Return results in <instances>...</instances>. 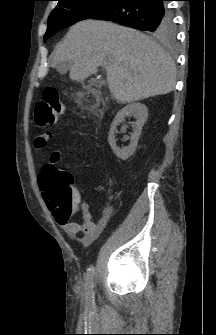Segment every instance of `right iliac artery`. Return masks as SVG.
Returning a JSON list of instances; mask_svg holds the SVG:
<instances>
[{
    "label": "right iliac artery",
    "mask_w": 216,
    "mask_h": 335,
    "mask_svg": "<svg viewBox=\"0 0 216 335\" xmlns=\"http://www.w3.org/2000/svg\"><path fill=\"white\" fill-rule=\"evenodd\" d=\"M93 266H90L87 271V301L88 303L94 302V293H93Z\"/></svg>",
    "instance_id": "82829eb1"
}]
</instances>
